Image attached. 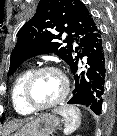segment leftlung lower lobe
Returning a JSON list of instances; mask_svg holds the SVG:
<instances>
[{
  "instance_id": "0a47b994",
  "label": "left lung lower lobe",
  "mask_w": 117,
  "mask_h": 136,
  "mask_svg": "<svg viewBox=\"0 0 117 136\" xmlns=\"http://www.w3.org/2000/svg\"><path fill=\"white\" fill-rule=\"evenodd\" d=\"M82 57L86 58L85 67L81 66ZM70 68L74 75L75 88L68 104L84 105L100 115L107 72L106 45L101 30L87 37L82 54Z\"/></svg>"
}]
</instances>
